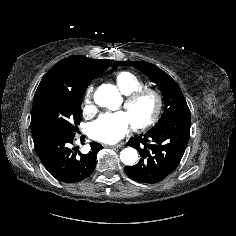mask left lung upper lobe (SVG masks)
Masks as SVG:
<instances>
[{
	"instance_id": "1",
	"label": "left lung upper lobe",
	"mask_w": 236,
	"mask_h": 236,
	"mask_svg": "<svg viewBox=\"0 0 236 236\" xmlns=\"http://www.w3.org/2000/svg\"><path fill=\"white\" fill-rule=\"evenodd\" d=\"M118 66H133L155 82L163 93L164 112L151 130L159 129L174 118L190 116L189 107L180 87L166 72L151 63L143 61H117L113 64L114 69Z\"/></svg>"
}]
</instances>
